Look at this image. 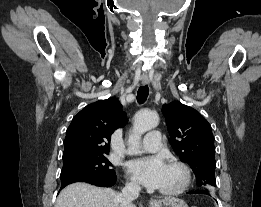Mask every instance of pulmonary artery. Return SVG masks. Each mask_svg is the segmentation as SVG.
<instances>
[{"label":"pulmonary artery","instance_id":"pulmonary-artery-1","mask_svg":"<svg viewBox=\"0 0 261 207\" xmlns=\"http://www.w3.org/2000/svg\"><path fill=\"white\" fill-rule=\"evenodd\" d=\"M161 146V134L157 130L146 134L142 142L129 150V153L136 154L141 152H156Z\"/></svg>","mask_w":261,"mask_h":207}]
</instances>
